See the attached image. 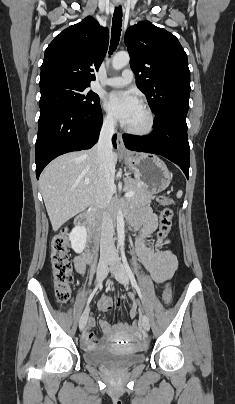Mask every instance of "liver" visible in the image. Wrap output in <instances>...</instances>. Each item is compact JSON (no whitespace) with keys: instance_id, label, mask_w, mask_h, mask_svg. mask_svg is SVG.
Returning a JSON list of instances; mask_svg holds the SVG:
<instances>
[{"instance_id":"6515ba94","label":"liver","mask_w":235,"mask_h":404,"mask_svg":"<svg viewBox=\"0 0 235 404\" xmlns=\"http://www.w3.org/2000/svg\"><path fill=\"white\" fill-rule=\"evenodd\" d=\"M113 156L116 164L118 156L116 153ZM98 180L95 150L61 155L44 169L39 184L54 231L93 203Z\"/></svg>"}]
</instances>
